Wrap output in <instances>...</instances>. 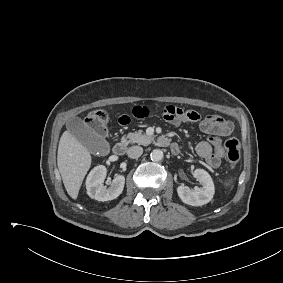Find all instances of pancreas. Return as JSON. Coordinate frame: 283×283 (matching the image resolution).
Here are the masks:
<instances>
[{"label": "pancreas", "mask_w": 283, "mask_h": 283, "mask_svg": "<svg viewBox=\"0 0 283 283\" xmlns=\"http://www.w3.org/2000/svg\"><path fill=\"white\" fill-rule=\"evenodd\" d=\"M153 141V137L143 133L142 131L129 133L121 139L122 144L137 143L139 145H147Z\"/></svg>", "instance_id": "cf45deb5"}]
</instances>
